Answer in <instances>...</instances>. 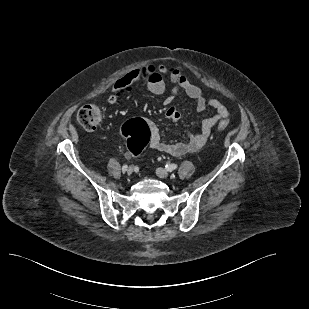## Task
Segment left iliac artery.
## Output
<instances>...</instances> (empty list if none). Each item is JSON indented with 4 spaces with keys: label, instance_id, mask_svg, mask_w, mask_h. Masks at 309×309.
Segmentation results:
<instances>
[{
    "label": "left iliac artery",
    "instance_id": "44dca946",
    "mask_svg": "<svg viewBox=\"0 0 309 309\" xmlns=\"http://www.w3.org/2000/svg\"><path fill=\"white\" fill-rule=\"evenodd\" d=\"M178 165L177 164H166L165 168L167 169V171L171 172L175 169H177Z\"/></svg>",
    "mask_w": 309,
    "mask_h": 309
}]
</instances>
